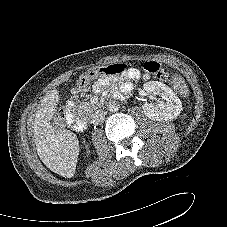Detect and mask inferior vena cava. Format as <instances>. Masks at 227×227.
<instances>
[{"instance_id":"obj_1","label":"inferior vena cava","mask_w":227,"mask_h":227,"mask_svg":"<svg viewBox=\"0 0 227 227\" xmlns=\"http://www.w3.org/2000/svg\"><path fill=\"white\" fill-rule=\"evenodd\" d=\"M104 118H105V112L100 109L94 111L90 116L91 123L95 125L101 123L104 120Z\"/></svg>"}]
</instances>
